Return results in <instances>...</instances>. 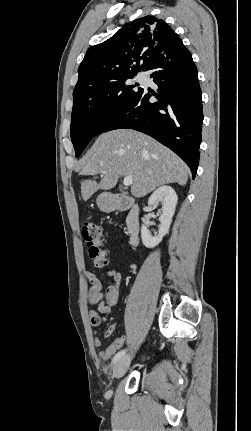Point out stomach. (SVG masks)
Masks as SVG:
<instances>
[{
  "label": "stomach",
  "mask_w": 251,
  "mask_h": 431,
  "mask_svg": "<svg viewBox=\"0 0 251 431\" xmlns=\"http://www.w3.org/2000/svg\"><path fill=\"white\" fill-rule=\"evenodd\" d=\"M97 205L101 211L110 212V211L115 210L116 201L114 200V198L111 195L103 193V194L98 196Z\"/></svg>",
  "instance_id": "1"
}]
</instances>
